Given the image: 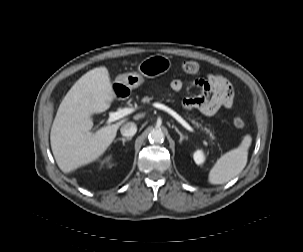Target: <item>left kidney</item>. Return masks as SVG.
Instances as JSON below:
<instances>
[{"instance_id":"obj_1","label":"left kidney","mask_w":303,"mask_h":252,"mask_svg":"<svg viewBox=\"0 0 303 252\" xmlns=\"http://www.w3.org/2000/svg\"><path fill=\"white\" fill-rule=\"evenodd\" d=\"M193 159L197 165H202L205 161V155L202 150H197L193 154Z\"/></svg>"}]
</instances>
